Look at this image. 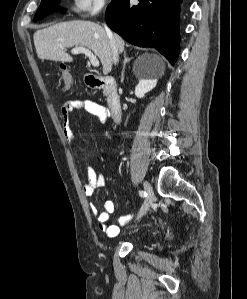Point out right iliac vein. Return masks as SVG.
Wrapping results in <instances>:
<instances>
[{"label": "right iliac vein", "mask_w": 247, "mask_h": 299, "mask_svg": "<svg viewBox=\"0 0 247 299\" xmlns=\"http://www.w3.org/2000/svg\"><path fill=\"white\" fill-rule=\"evenodd\" d=\"M144 189H145V192L147 193V197H146L145 202H144L143 206L141 207L136 219L142 218L148 212V210L153 202V199H154L153 189L149 182H147V181L144 182Z\"/></svg>", "instance_id": "1"}]
</instances>
